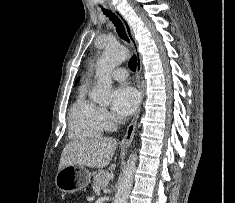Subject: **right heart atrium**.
Wrapping results in <instances>:
<instances>
[{
    "instance_id": "obj_1",
    "label": "right heart atrium",
    "mask_w": 235,
    "mask_h": 203,
    "mask_svg": "<svg viewBox=\"0 0 235 203\" xmlns=\"http://www.w3.org/2000/svg\"><path fill=\"white\" fill-rule=\"evenodd\" d=\"M99 118L105 129H110L114 125V119L111 114L104 108H99Z\"/></svg>"
}]
</instances>
